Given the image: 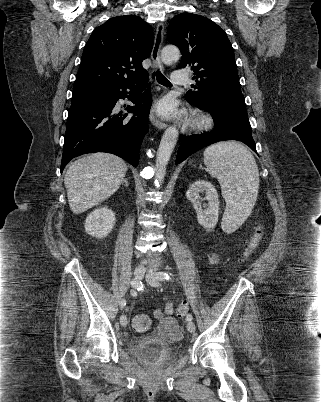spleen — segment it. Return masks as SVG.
<instances>
[{
    "label": "spleen",
    "mask_w": 321,
    "mask_h": 402,
    "mask_svg": "<svg viewBox=\"0 0 321 402\" xmlns=\"http://www.w3.org/2000/svg\"><path fill=\"white\" fill-rule=\"evenodd\" d=\"M204 163L212 177L220 183L226 208L222 229L235 231L246 219L259 190V171L251 152L235 141H223L207 147Z\"/></svg>",
    "instance_id": "3e777b00"
}]
</instances>
